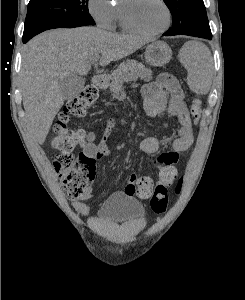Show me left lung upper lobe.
Wrapping results in <instances>:
<instances>
[{"label": "left lung upper lobe", "instance_id": "obj_1", "mask_svg": "<svg viewBox=\"0 0 245 300\" xmlns=\"http://www.w3.org/2000/svg\"><path fill=\"white\" fill-rule=\"evenodd\" d=\"M172 16L166 35L211 33L203 0H163Z\"/></svg>", "mask_w": 245, "mask_h": 300}]
</instances>
